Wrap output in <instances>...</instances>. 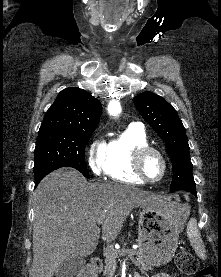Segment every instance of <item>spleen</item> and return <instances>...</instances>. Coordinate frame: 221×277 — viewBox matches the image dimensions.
I'll return each mask as SVG.
<instances>
[{"mask_svg":"<svg viewBox=\"0 0 221 277\" xmlns=\"http://www.w3.org/2000/svg\"><path fill=\"white\" fill-rule=\"evenodd\" d=\"M187 212L189 213V208L186 207ZM187 236L190 240V244L192 248L195 250L196 254L201 259H206V250L201 238L200 232L197 228V221L196 219L192 218L187 225Z\"/></svg>","mask_w":221,"mask_h":277,"instance_id":"obj_1","label":"spleen"}]
</instances>
